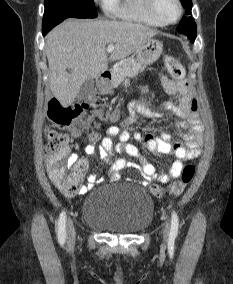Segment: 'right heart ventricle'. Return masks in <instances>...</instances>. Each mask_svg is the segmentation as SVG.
<instances>
[{
  "label": "right heart ventricle",
  "instance_id": "e07e8e85",
  "mask_svg": "<svg viewBox=\"0 0 233 284\" xmlns=\"http://www.w3.org/2000/svg\"><path fill=\"white\" fill-rule=\"evenodd\" d=\"M103 7L108 15L124 21L161 26L150 14L147 0H103Z\"/></svg>",
  "mask_w": 233,
  "mask_h": 284
}]
</instances>
